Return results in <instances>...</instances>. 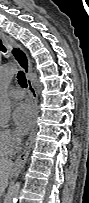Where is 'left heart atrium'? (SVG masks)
<instances>
[{
    "mask_svg": "<svg viewBox=\"0 0 89 203\" xmlns=\"http://www.w3.org/2000/svg\"><path fill=\"white\" fill-rule=\"evenodd\" d=\"M34 116V108L30 103L22 102L16 107L13 119L19 134L24 135L32 128Z\"/></svg>",
    "mask_w": 89,
    "mask_h": 203,
    "instance_id": "39dd6f15",
    "label": "left heart atrium"
}]
</instances>
